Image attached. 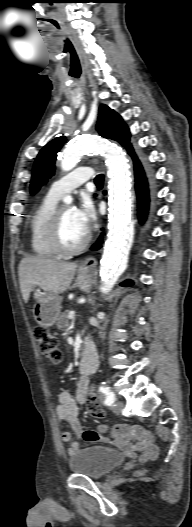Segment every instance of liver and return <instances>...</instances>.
Masks as SVG:
<instances>
[{"label": "liver", "mask_w": 192, "mask_h": 527, "mask_svg": "<svg viewBox=\"0 0 192 527\" xmlns=\"http://www.w3.org/2000/svg\"><path fill=\"white\" fill-rule=\"evenodd\" d=\"M77 264L55 259L27 256L19 264V283L24 302H28L31 290L39 286L58 295L70 286Z\"/></svg>", "instance_id": "obj_1"}]
</instances>
